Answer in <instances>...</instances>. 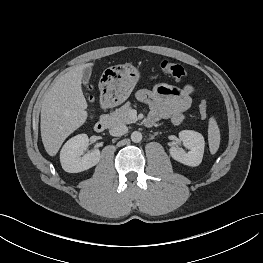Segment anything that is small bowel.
Wrapping results in <instances>:
<instances>
[{"label": "small bowel", "mask_w": 263, "mask_h": 263, "mask_svg": "<svg viewBox=\"0 0 263 263\" xmlns=\"http://www.w3.org/2000/svg\"><path fill=\"white\" fill-rule=\"evenodd\" d=\"M194 93L195 88L192 85L176 88L171 85L159 84L151 90H139L136 97L150 108L148 124H153L161 119H169L177 125L184 119V114L191 105Z\"/></svg>", "instance_id": "1"}]
</instances>
